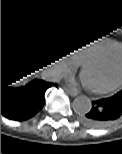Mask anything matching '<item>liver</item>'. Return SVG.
<instances>
[{"mask_svg": "<svg viewBox=\"0 0 122 154\" xmlns=\"http://www.w3.org/2000/svg\"><path fill=\"white\" fill-rule=\"evenodd\" d=\"M36 73H38V70H35L34 72H31L30 74H27L26 76H23L19 80L15 82V84L24 83L27 80H29L31 77H33Z\"/></svg>", "mask_w": 122, "mask_h": 154, "instance_id": "6515ba94", "label": "liver"}]
</instances>
